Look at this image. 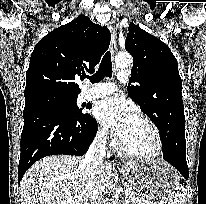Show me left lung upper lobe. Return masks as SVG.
I'll list each match as a JSON object with an SVG mask.
<instances>
[{"label":"left lung upper lobe","mask_w":206,"mask_h":204,"mask_svg":"<svg viewBox=\"0 0 206 204\" xmlns=\"http://www.w3.org/2000/svg\"><path fill=\"white\" fill-rule=\"evenodd\" d=\"M125 49L133 56L128 94L162 138L175 123H185L177 60L164 42L134 23L129 25Z\"/></svg>","instance_id":"obj_1"}]
</instances>
